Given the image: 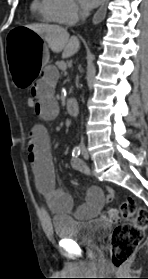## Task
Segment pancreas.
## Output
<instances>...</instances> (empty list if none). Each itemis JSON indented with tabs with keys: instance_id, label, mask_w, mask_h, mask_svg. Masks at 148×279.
I'll return each mask as SVG.
<instances>
[{
	"instance_id": "cf45deb5",
	"label": "pancreas",
	"mask_w": 148,
	"mask_h": 279,
	"mask_svg": "<svg viewBox=\"0 0 148 279\" xmlns=\"http://www.w3.org/2000/svg\"><path fill=\"white\" fill-rule=\"evenodd\" d=\"M56 65L59 67V69L65 71V70L63 69V68H66L65 62H63V61H58V62L56 63Z\"/></svg>"
}]
</instances>
